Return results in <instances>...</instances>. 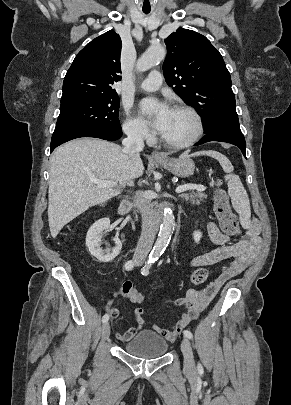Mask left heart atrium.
Returning a JSON list of instances; mask_svg holds the SVG:
<instances>
[{"instance_id": "left-heart-atrium-1", "label": "left heart atrium", "mask_w": 291, "mask_h": 405, "mask_svg": "<svg viewBox=\"0 0 291 405\" xmlns=\"http://www.w3.org/2000/svg\"><path fill=\"white\" fill-rule=\"evenodd\" d=\"M171 110L166 103L154 99H146L140 104V113L143 118L159 132L165 129Z\"/></svg>"}]
</instances>
